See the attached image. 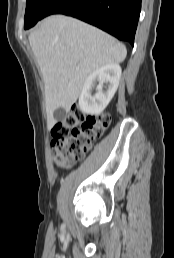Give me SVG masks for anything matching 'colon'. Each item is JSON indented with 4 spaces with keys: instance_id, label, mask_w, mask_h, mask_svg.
Segmentation results:
<instances>
[{
    "instance_id": "obj_1",
    "label": "colon",
    "mask_w": 174,
    "mask_h": 258,
    "mask_svg": "<svg viewBox=\"0 0 174 258\" xmlns=\"http://www.w3.org/2000/svg\"><path fill=\"white\" fill-rule=\"evenodd\" d=\"M109 123L110 115L107 113L86 116L78 106H73L66 117L52 128V159L61 167L83 159Z\"/></svg>"
}]
</instances>
